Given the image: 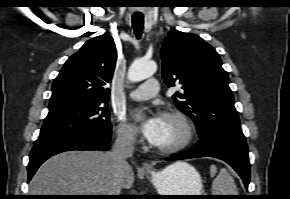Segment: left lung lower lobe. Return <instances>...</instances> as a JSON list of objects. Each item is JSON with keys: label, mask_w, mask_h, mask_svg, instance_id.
<instances>
[{"label": "left lung lower lobe", "mask_w": 290, "mask_h": 199, "mask_svg": "<svg viewBox=\"0 0 290 199\" xmlns=\"http://www.w3.org/2000/svg\"><path fill=\"white\" fill-rule=\"evenodd\" d=\"M200 141L193 150L166 160L214 157L225 161L242 178L248 188L250 181V163L245 136L240 129L211 126L198 132Z\"/></svg>", "instance_id": "0a47b994"}]
</instances>
